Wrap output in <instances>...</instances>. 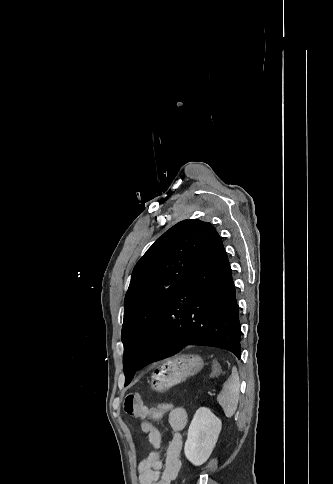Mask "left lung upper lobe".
I'll list each match as a JSON object with an SVG mask.
<instances>
[{
    "label": "left lung upper lobe",
    "mask_w": 333,
    "mask_h": 484,
    "mask_svg": "<svg viewBox=\"0 0 333 484\" xmlns=\"http://www.w3.org/2000/svg\"><path fill=\"white\" fill-rule=\"evenodd\" d=\"M211 224L184 220L166 231L134 267L124 301L121 339L125 384L140 365L143 348L161 309Z\"/></svg>",
    "instance_id": "1"
}]
</instances>
